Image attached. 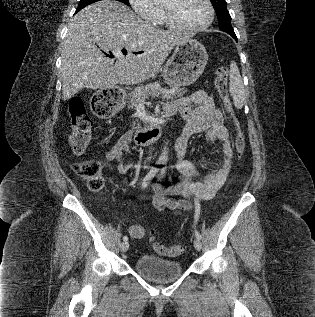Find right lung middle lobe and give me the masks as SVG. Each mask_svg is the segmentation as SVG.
<instances>
[{
  "label": "right lung middle lobe",
  "instance_id": "right-lung-middle-lobe-1",
  "mask_svg": "<svg viewBox=\"0 0 315 317\" xmlns=\"http://www.w3.org/2000/svg\"><path fill=\"white\" fill-rule=\"evenodd\" d=\"M97 1H100V0H80L79 5H78V8H77L76 11H79V10H81L82 8L86 7L87 5L92 4V3H94V2H97ZM116 1H120V2H122V3H124V4H126V5L129 4V1H128V0H116Z\"/></svg>",
  "mask_w": 315,
  "mask_h": 317
}]
</instances>
